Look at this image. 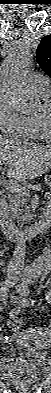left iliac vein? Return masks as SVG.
I'll return each mask as SVG.
<instances>
[{
  "label": "left iliac vein",
  "instance_id": "obj_1",
  "mask_svg": "<svg viewBox=\"0 0 51 393\" xmlns=\"http://www.w3.org/2000/svg\"><path fill=\"white\" fill-rule=\"evenodd\" d=\"M11 286L12 287H15L16 289H17V291L21 294L22 292H21V290H22V288H21V283L20 284H17L15 281H13L12 283H11ZM22 295V294H21Z\"/></svg>",
  "mask_w": 51,
  "mask_h": 393
}]
</instances>
